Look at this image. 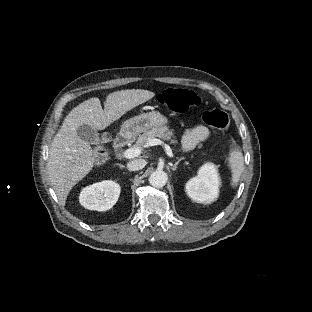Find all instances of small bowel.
I'll list each match as a JSON object with an SVG mask.
<instances>
[{
  "instance_id": "1",
  "label": "small bowel",
  "mask_w": 312,
  "mask_h": 312,
  "mask_svg": "<svg viewBox=\"0 0 312 312\" xmlns=\"http://www.w3.org/2000/svg\"><path fill=\"white\" fill-rule=\"evenodd\" d=\"M210 134H211L210 130L203 125L190 127L186 129L183 135L181 136L180 146L184 150L193 149L199 143L209 138Z\"/></svg>"
}]
</instances>
